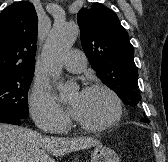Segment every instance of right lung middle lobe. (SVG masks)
Returning <instances> with one entry per match:
<instances>
[{"label": "right lung middle lobe", "mask_w": 168, "mask_h": 162, "mask_svg": "<svg viewBox=\"0 0 168 162\" xmlns=\"http://www.w3.org/2000/svg\"><path fill=\"white\" fill-rule=\"evenodd\" d=\"M34 71L0 78V115L25 119L28 117L27 95Z\"/></svg>", "instance_id": "right-lung-middle-lobe-1"}]
</instances>
